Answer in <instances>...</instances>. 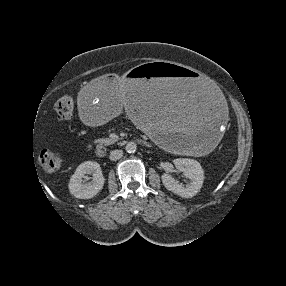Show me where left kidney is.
Instances as JSON below:
<instances>
[{"label":"left kidney","instance_id":"obj_1","mask_svg":"<svg viewBox=\"0 0 286 286\" xmlns=\"http://www.w3.org/2000/svg\"><path fill=\"white\" fill-rule=\"evenodd\" d=\"M173 163L179 171L183 172L184 176L191 180V182L184 187L171 175L163 174L161 176L163 185L167 190L172 191L183 198L195 196L201 189L204 181L202 166L198 161L188 158H177Z\"/></svg>","mask_w":286,"mask_h":286}]
</instances>
